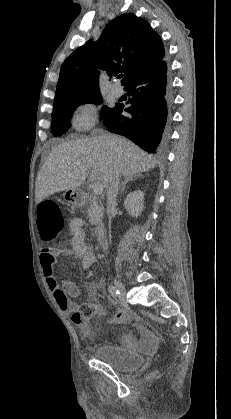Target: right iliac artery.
I'll return each mask as SVG.
<instances>
[{"mask_svg":"<svg viewBox=\"0 0 231 419\" xmlns=\"http://www.w3.org/2000/svg\"><path fill=\"white\" fill-rule=\"evenodd\" d=\"M108 292L114 297L119 296V291L113 285L108 286Z\"/></svg>","mask_w":231,"mask_h":419,"instance_id":"right-iliac-artery-1","label":"right iliac artery"}]
</instances>
